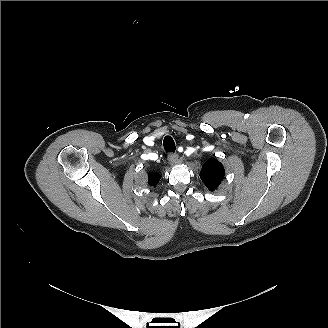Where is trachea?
Wrapping results in <instances>:
<instances>
[{
  "label": "trachea",
  "mask_w": 328,
  "mask_h": 328,
  "mask_svg": "<svg viewBox=\"0 0 328 328\" xmlns=\"http://www.w3.org/2000/svg\"><path fill=\"white\" fill-rule=\"evenodd\" d=\"M163 145L167 153H175L176 146L174 140L170 136L164 138Z\"/></svg>",
  "instance_id": "3493384b"
}]
</instances>
